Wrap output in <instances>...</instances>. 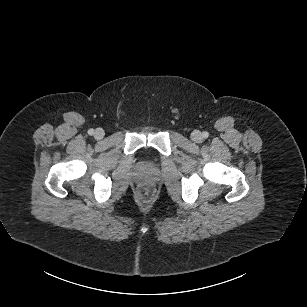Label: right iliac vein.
<instances>
[{
	"instance_id": "63e3f726",
	"label": "right iliac vein",
	"mask_w": 307,
	"mask_h": 307,
	"mask_svg": "<svg viewBox=\"0 0 307 307\" xmlns=\"http://www.w3.org/2000/svg\"><path fill=\"white\" fill-rule=\"evenodd\" d=\"M104 130L102 128H97L94 132V137L98 140L102 139L104 137Z\"/></svg>"
}]
</instances>
